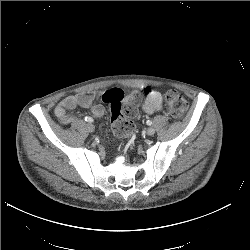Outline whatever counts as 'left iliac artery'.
<instances>
[{"instance_id":"left-iliac-artery-1","label":"left iliac artery","mask_w":250,"mask_h":250,"mask_svg":"<svg viewBox=\"0 0 250 250\" xmlns=\"http://www.w3.org/2000/svg\"><path fill=\"white\" fill-rule=\"evenodd\" d=\"M147 125H151L152 124V120H147Z\"/></svg>"}]
</instances>
